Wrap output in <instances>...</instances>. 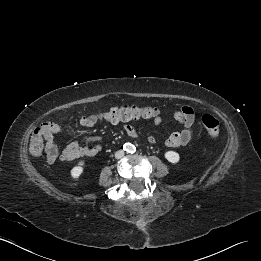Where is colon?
<instances>
[{
	"instance_id": "obj_1",
	"label": "colon",
	"mask_w": 261,
	"mask_h": 261,
	"mask_svg": "<svg viewBox=\"0 0 261 261\" xmlns=\"http://www.w3.org/2000/svg\"><path fill=\"white\" fill-rule=\"evenodd\" d=\"M159 114V110L154 107H137L123 105L120 107L112 108L108 111H105L101 114V117L110 122L117 121H132L138 120L141 118H151L156 117ZM202 124L206 130L208 137L212 140H216L220 134V125L219 121L210 114H205L202 116ZM48 129L45 124H42L33 132L29 148L30 152L39 156L43 152L44 144L46 142V135Z\"/></svg>"
}]
</instances>
